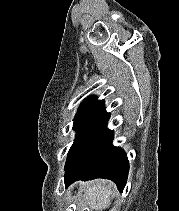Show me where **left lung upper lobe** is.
I'll use <instances>...</instances> for the list:
<instances>
[{"label": "left lung upper lobe", "instance_id": "1", "mask_svg": "<svg viewBox=\"0 0 179 211\" xmlns=\"http://www.w3.org/2000/svg\"><path fill=\"white\" fill-rule=\"evenodd\" d=\"M104 111V101L97 100L96 97H90L82 102L74 118L73 129L76 131V137L69 150L66 165L78 150L89 129Z\"/></svg>", "mask_w": 179, "mask_h": 211}]
</instances>
